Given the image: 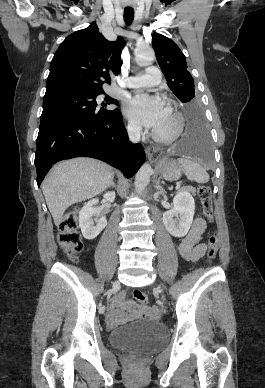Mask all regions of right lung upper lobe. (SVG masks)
Here are the masks:
<instances>
[{
    "mask_svg": "<svg viewBox=\"0 0 265 388\" xmlns=\"http://www.w3.org/2000/svg\"><path fill=\"white\" fill-rule=\"evenodd\" d=\"M121 37L108 41L93 22L69 35L55 52L47 78L45 96L67 92H102L110 73L121 71Z\"/></svg>",
    "mask_w": 265,
    "mask_h": 388,
    "instance_id": "right-lung-upper-lobe-1",
    "label": "right lung upper lobe"
}]
</instances>
